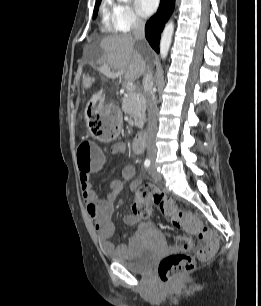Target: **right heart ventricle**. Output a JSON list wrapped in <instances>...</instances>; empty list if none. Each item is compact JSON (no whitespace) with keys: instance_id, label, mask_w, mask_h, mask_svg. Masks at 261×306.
I'll return each mask as SVG.
<instances>
[{"instance_id":"e07e8e85","label":"right heart ventricle","mask_w":261,"mask_h":306,"mask_svg":"<svg viewBox=\"0 0 261 306\" xmlns=\"http://www.w3.org/2000/svg\"><path fill=\"white\" fill-rule=\"evenodd\" d=\"M101 15L103 30L107 33L117 32L118 29L113 23L112 5L107 0H105L102 4Z\"/></svg>"}]
</instances>
